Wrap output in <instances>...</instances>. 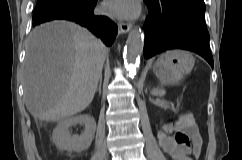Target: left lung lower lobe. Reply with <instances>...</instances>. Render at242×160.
<instances>
[{
    "label": "left lung lower lobe",
    "instance_id": "0a47b994",
    "mask_svg": "<svg viewBox=\"0 0 242 160\" xmlns=\"http://www.w3.org/2000/svg\"><path fill=\"white\" fill-rule=\"evenodd\" d=\"M144 1L150 12L144 24L145 58L170 49H184L196 52L213 67L204 12L170 10L151 0Z\"/></svg>",
    "mask_w": 242,
    "mask_h": 160
}]
</instances>
